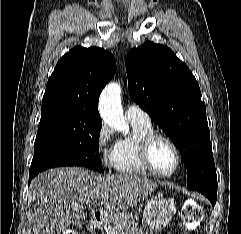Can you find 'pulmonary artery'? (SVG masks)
I'll list each match as a JSON object with an SVG mask.
<instances>
[{
  "label": "pulmonary artery",
  "instance_id": "1",
  "mask_svg": "<svg viewBox=\"0 0 241 234\" xmlns=\"http://www.w3.org/2000/svg\"><path fill=\"white\" fill-rule=\"evenodd\" d=\"M125 114L130 122L151 123L148 113L137 105H128Z\"/></svg>",
  "mask_w": 241,
  "mask_h": 234
}]
</instances>
